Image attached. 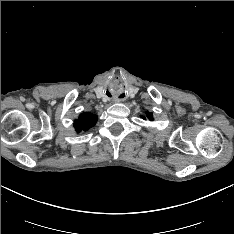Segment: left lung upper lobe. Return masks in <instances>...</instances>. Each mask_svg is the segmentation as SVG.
Listing matches in <instances>:
<instances>
[{
  "label": "left lung upper lobe",
  "mask_w": 234,
  "mask_h": 234,
  "mask_svg": "<svg viewBox=\"0 0 234 234\" xmlns=\"http://www.w3.org/2000/svg\"><path fill=\"white\" fill-rule=\"evenodd\" d=\"M146 116H147V118L148 119H150V120H152L153 118H152V114L151 113H148V112H146ZM144 119H145V117H143Z\"/></svg>",
  "instance_id": "obj_1"
}]
</instances>
